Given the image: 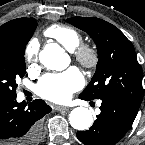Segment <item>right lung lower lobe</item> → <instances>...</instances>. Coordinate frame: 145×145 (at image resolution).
Instances as JSON below:
<instances>
[{
	"label": "right lung lower lobe",
	"mask_w": 145,
	"mask_h": 145,
	"mask_svg": "<svg viewBox=\"0 0 145 145\" xmlns=\"http://www.w3.org/2000/svg\"><path fill=\"white\" fill-rule=\"evenodd\" d=\"M51 111L43 100L18 103L16 94L0 92V145H37L40 119Z\"/></svg>",
	"instance_id": "right-lung-lower-lobe-1"
}]
</instances>
